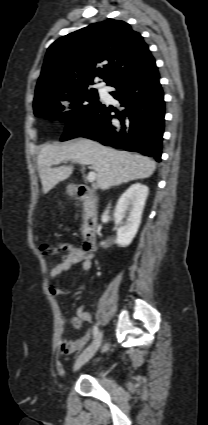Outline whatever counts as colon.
Masks as SVG:
<instances>
[{
    "mask_svg": "<svg viewBox=\"0 0 208 425\" xmlns=\"http://www.w3.org/2000/svg\"><path fill=\"white\" fill-rule=\"evenodd\" d=\"M40 250L43 253V255L46 257H52L59 253L58 248L48 243L41 244Z\"/></svg>",
    "mask_w": 208,
    "mask_h": 425,
    "instance_id": "5ec220e1",
    "label": "colon"
}]
</instances>
